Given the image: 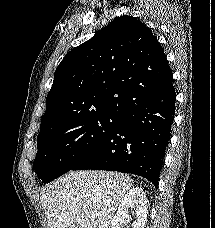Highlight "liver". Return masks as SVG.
I'll return each instance as SVG.
<instances>
[{"instance_id":"obj_1","label":"liver","mask_w":215,"mask_h":228,"mask_svg":"<svg viewBox=\"0 0 215 228\" xmlns=\"http://www.w3.org/2000/svg\"><path fill=\"white\" fill-rule=\"evenodd\" d=\"M133 186L118 172H68L42 188L48 228H111L116 208Z\"/></svg>"}]
</instances>
